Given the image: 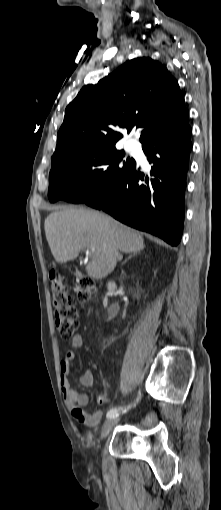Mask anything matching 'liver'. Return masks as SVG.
Masks as SVG:
<instances>
[{"mask_svg": "<svg viewBox=\"0 0 221 510\" xmlns=\"http://www.w3.org/2000/svg\"><path fill=\"white\" fill-rule=\"evenodd\" d=\"M44 228L51 253L59 263L74 260L81 251L89 250L91 260L86 271L93 279L105 278L114 270L121 259L116 252L132 253L145 248L138 232L94 210L62 208L47 216Z\"/></svg>", "mask_w": 221, "mask_h": 510, "instance_id": "obj_1", "label": "liver"}]
</instances>
